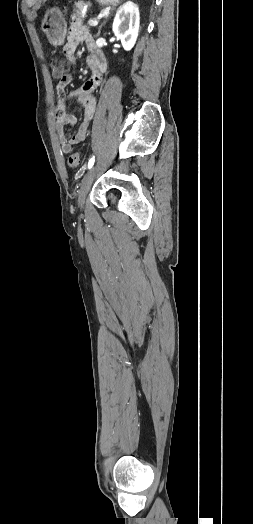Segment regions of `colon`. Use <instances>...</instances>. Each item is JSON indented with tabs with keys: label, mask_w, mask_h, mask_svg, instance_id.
<instances>
[{
	"label": "colon",
	"mask_w": 253,
	"mask_h": 524,
	"mask_svg": "<svg viewBox=\"0 0 253 524\" xmlns=\"http://www.w3.org/2000/svg\"><path fill=\"white\" fill-rule=\"evenodd\" d=\"M50 69L52 72V77L56 80L61 81L60 76L62 73L66 72L68 69L67 64L65 63V60L60 58H54L49 63ZM81 162V157L78 152H72L69 154L67 159V164L71 168L78 167Z\"/></svg>",
	"instance_id": "5ec220e1"
}]
</instances>
